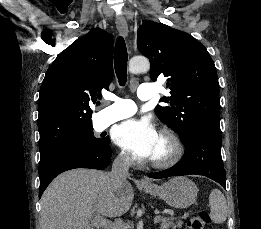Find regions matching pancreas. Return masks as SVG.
I'll return each instance as SVG.
<instances>
[{"mask_svg":"<svg viewBox=\"0 0 261 229\" xmlns=\"http://www.w3.org/2000/svg\"><path fill=\"white\" fill-rule=\"evenodd\" d=\"M188 215H184L186 219ZM160 219V229H182L183 221H176V219H168V217H156Z\"/></svg>","mask_w":261,"mask_h":229,"instance_id":"cf45deb5","label":"pancreas"}]
</instances>
